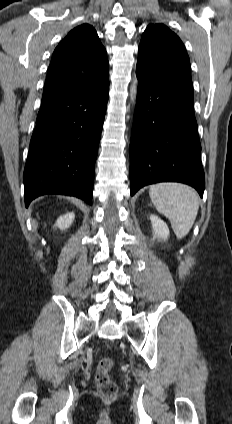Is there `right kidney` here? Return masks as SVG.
Here are the masks:
<instances>
[{"label":"right kidney","instance_id":"right-kidney-1","mask_svg":"<svg viewBox=\"0 0 232 424\" xmlns=\"http://www.w3.org/2000/svg\"><path fill=\"white\" fill-rule=\"evenodd\" d=\"M74 219H75V214L73 212L67 213L63 216H60L57 219L56 224L54 226L58 227L61 230H65L69 228V226L72 224Z\"/></svg>","mask_w":232,"mask_h":424}]
</instances>
